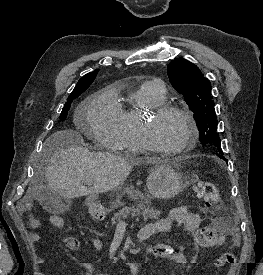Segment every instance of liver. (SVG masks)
Listing matches in <instances>:
<instances>
[{"mask_svg":"<svg viewBox=\"0 0 263 275\" xmlns=\"http://www.w3.org/2000/svg\"><path fill=\"white\" fill-rule=\"evenodd\" d=\"M80 141V134L74 130L58 131L50 137L47 146L53 152L45 172L47 188L70 200L87 195L96 198L123 184L132 165L108 152H91L80 146ZM89 182L92 187L88 189L85 185ZM34 193L35 189L29 188L23 202L31 201Z\"/></svg>","mask_w":263,"mask_h":275,"instance_id":"1","label":"liver"}]
</instances>
